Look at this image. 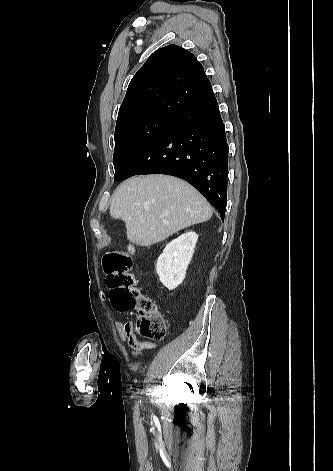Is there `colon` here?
I'll use <instances>...</instances> for the list:
<instances>
[{"label": "colon", "mask_w": 333, "mask_h": 471, "mask_svg": "<svg viewBox=\"0 0 333 471\" xmlns=\"http://www.w3.org/2000/svg\"><path fill=\"white\" fill-rule=\"evenodd\" d=\"M132 253L133 247L130 245L108 252L103 257L111 304L118 311L135 310L137 332L148 339L160 341L166 335V321L157 305L136 288Z\"/></svg>", "instance_id": "5ec220e1"}]
</instances>
